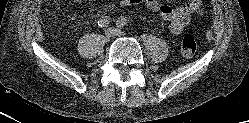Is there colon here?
Returning a JSON list of instances; mask_svg holds the SVG:
<instances>
[{
  "mask_svg": "<svg viewBox=\"0 0 249 123\" xmlns=\"http://www.w3.org/2000/svg\"><path fill=\"white\" fill-rule=\"evenodd\" d=\"M197 51V42L193 35L186 34L181 40V54L185 58H191Z\"/></svg>",
  "mask_w": 249,
  "mask_h": 123,
  "instance_id": "5ec220e1",
  "label": "colon"
}]
</instances>
